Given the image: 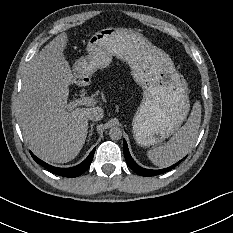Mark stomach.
Wrapping results in <instances>:
<instances>
[{
	"instance_id": "1",
	"label": "stomach",
	"mask_w": 233,
	"mask_h": 233,
	"mask_svg": "<svg viewBox=\"0 0 233 233\" xmlns=\"http://www.w3.org/2000/svg\"><path fill=\"white\" fill-rule=\"evenodd\" d=\"M86 52L72 66L76 83L109 67L115 56L129 64L131 74L143 87V101L133 121L138 144L155 145L179 128L189 110L185 80L169 57L145 36L132 29H101L88 39Z\"/></svg>"
}]
</instances>
